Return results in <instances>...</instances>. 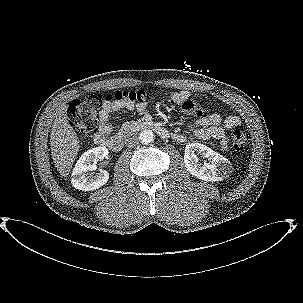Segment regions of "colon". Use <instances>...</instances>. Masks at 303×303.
Returning <instances> with one entry per match:
<instances>
[{"instance_id":"5ec220e1","label":"colon","mask_w":303,"mask_h":303,"mask_svg":"<svg viewBox=\"0 0 303 303\" xmlns=\"http://www.w3.org/2000/svg\"><path fill=\"white\" fill-rule=\"evenodd\" d=\"M150 96V93L144 90H124L91 95L86 99L72 101L67 110V117L80 136L88 140L97 133V113L106 103L117 101L142 103L148 100ZM182 108L189 113L196 114L198 117L203 115L202 109H198L190 99L182 103ZM230 138L232 146L236 150H241L246 145L247 134L240 128L233 129Z\"/></svg>"}]
</instances>
